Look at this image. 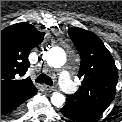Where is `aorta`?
I'll list each match as a JSON object with an SVG mask.
<instances>
[{
    "instance_id": "762f6f07",
    "label": "aorta",
    "mask_w": 122,
    "mask_h": 122,
    "mask_svg": "<svg viewBox=\"0 0 122 122\" xmlns=\"http://www.w3.org/2000/svg\"><path fill=\"white\" fill-rule=\"evenodd\" d=\"M66 62V54L63 49L61 48H52L47 54V63L54 67L60 68ZM65 102V96L59 92H54L51 96V103L56 106L60 107Z\"/></svg>"
}]
</instances>
